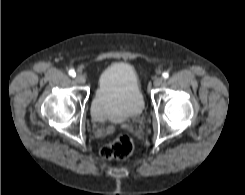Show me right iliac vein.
<instances>
[{
    "label": "right iliac vein",
    "mask_w": 245,
    "mask_h": 195,
    "mask_svg": "<svg viewBox=\"0 0 245 195\" xmlns=\"http://www.w3.org/2000/svg\"><path fill=\"white\" fill-rule=\"evenodd\" d=\"M75 80L76 82L80 83V84H83L85 83L86 79H85V76L78 73L76 76H75Z\"/></svg>",
    "instance_id": "obj_1"
}]
</instances>
